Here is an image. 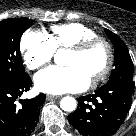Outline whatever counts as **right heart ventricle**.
<instances>
[{"mask_svg":"<svg viewBox=\"0 0 136 136\" xmlns=\"http://www.w3.org/2000/svg\"><path fill=\"white\" fill-rule=\"evenodd\" d=\"M94 36H97V32L91 27L79 22H69L51 26L48 38L55 49H69Z\"/></svg>","mask_w":136,"mask_h":136,"instance_id":"1","label":"right heart ventricle"}]
</instances>
